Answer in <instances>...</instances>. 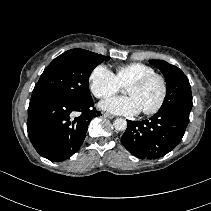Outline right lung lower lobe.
<instances>
[{"label":"right lung lower lobe","mask_w":211,"mask_h":211,"mask_svg":"<svg viewBox=\"0 0 211 211\" xmlns=\"http://www.w3.org/2000/svg\"><path fill=\"white\" fill-rule=\"evenodd\" d=\"M93 105L92 100L76 103L58 97H31L27 132L36 151L55 162L66 160L78 151L88 123L101 114ZM78 112L80 115L74 117Z\"/></svg>","instance_id":"1"}]
</instances>
